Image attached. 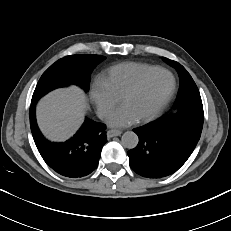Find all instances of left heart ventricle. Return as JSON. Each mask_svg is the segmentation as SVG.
Segmentation results:
<instances>
[{
	"label": "left heart ventricle",
	"mask_w": 231,
	"mask_h": 231,
	"mask_svg": "<svg viewBox=\"0 0 231 231\" xmlns=\"http://www.w3.org/2000/svg\"><path fill=\"white\" fill-rule=\"evenodd\" d=\"M171 87V76L165 72L157 73L138 92L126 99L124 105H127L138 119L147 116L160 106Z\"/></svg>",
	"instance_id": "obj_1"
}]
</instances>
